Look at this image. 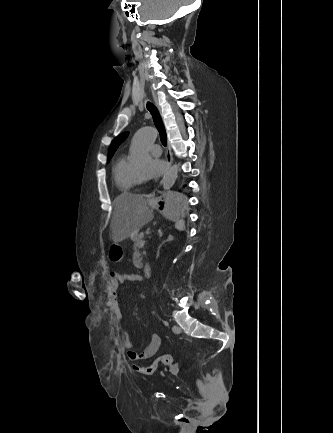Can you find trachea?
<instances>
[{
	"mask_svg": "<svg viewBox=\"0 0 333 433\" xmlns=\"http://www.w3.org/2000/svg\"><path fill=\"white\" fill-rule=\"evenodd\" d=\"M147 109L151 113V115L153 117L154 124H155L157 130L159 131L161 143L163 144V146H167L166 131H165L163 121L161 119V116L159 114L158 109L151 102L147 103Z\"/></svg>",
	"mask_w": 333,
	"mask_h": 433,
	"instance_id": "1",
	"label": "trachea"
}]
</instances>
